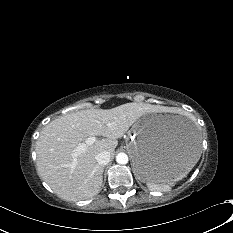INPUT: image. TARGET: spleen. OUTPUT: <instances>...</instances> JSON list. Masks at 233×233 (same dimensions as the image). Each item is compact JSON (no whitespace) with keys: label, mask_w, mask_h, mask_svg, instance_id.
I'll return each mask as SVG.
<instances>
[{"label":"spleen","mask_w":233,"mask_h":233,"mask_svg":"<svg viewBox=\"0 0 233 233\" xmlns=\"http://www.w3.org/2000/svg\"><path fill=\"white\" fill-rule=\"evenodd\" d=\"M175 180L167 181V182H148L147 185L152 190H166L171 185L174 184Z\"/></svg>","instance_id":"obj_1"}]
</instances>
